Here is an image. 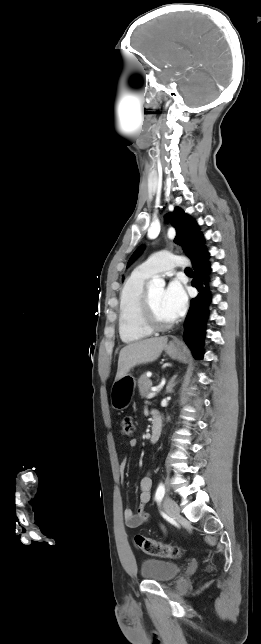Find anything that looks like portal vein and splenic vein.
<instances>
[{"label":"portal vein and splenic vein","mask_w":261,"mask_h":644,"mask_svg":"<svg viewBox=\"0 0 261 644\" xmlns=\"http://www.w3.org/2000/svg\"><path fill=\"white\" fill-rule=\"evenodd\" d=\"M159 391H160V390H157V389L153 390V392H150V393L147 395V398H148V399H151V398L155 397V396H156V394H157Z\"/></svg>","instance_id":"18ae733b"}]
</instances>
